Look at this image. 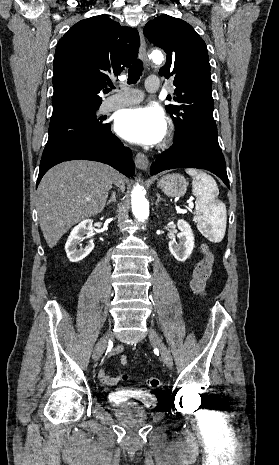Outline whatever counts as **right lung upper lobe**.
Masks as SVG:
<instances>
[{"instance_id": "1", "label": "right lung upper lobe", "mask_w": 279, "mask_h": 465, "mask_svg": "<svg viewBox=\"0 0 279 465\" xmlns=\"http://www.w3.org/2000/svg\"><path fill=\"white\" fill-rule=\"evenodd\" d=\"M138 31L106 16L73 25L60 39L53 65L50 125L99 108L101 89L137 57Z\"/></svg>"}]
</instances>
